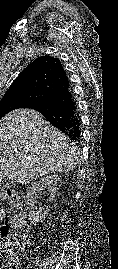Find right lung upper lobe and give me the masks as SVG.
<instances>
[{"label": "right lung upper lobe", "instance_id": "right-lung-upper-lobe-1", "mask_svg": "<svg viewBox=\"0 0 118 269\" xmlns=\"http://www.w3.org/2000/svg\"><path fill=\"white\" fill-rule=\"evenodd\" d=\"M69 85L61 61L46 55L38 57L30 63L14 80L5 95L13 93L27 95L29 97L26 102L27 107Z\"/></svg>", "mask_w": 118, "mask_h": 269}]
</instances>
